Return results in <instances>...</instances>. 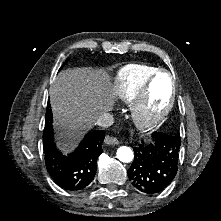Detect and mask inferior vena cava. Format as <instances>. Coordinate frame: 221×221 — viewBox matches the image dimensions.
<instances>
[{
  "instance_id": "obj_1",
  "label": "inferior vena cava",
  "mask_w": 221,
  "mask_h": 221,
  "mask_svg": "<svg viewBox=\"0 0 221 221\" xmlns=\"http://www.w3.org/2000/svg\"><path fill=\"white\" fill-rule=\"evenodd\" d=\"M113 123H114L113 115L105 112V113H102L101 115H99L95 124H97L98 126L107 128V127L113 125Z\"/></svg>"
}]
</instances>
